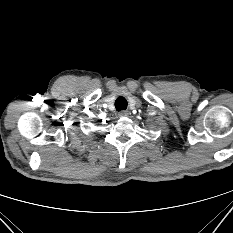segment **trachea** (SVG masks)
<instances>
[{
    "instance_id": "1",
    "label": "trachea",
    "mask_w": 233,
    "mask_h": 233,
    "mask_svg": "<svg viewBox=\"0 0 233 233\" xmlns=\"http://www.w3.org/2000/svg\"><path fill=\"white\" fill-rule=\"evenodd\" d=\"M115 108L117 111L125 110L127 108V100L120 96L115 101Z\"/></svg>"
}]
</instances>
